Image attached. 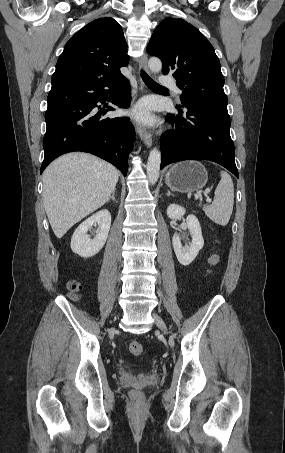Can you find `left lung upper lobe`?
<instances>
[{
  "instance_id": "left-lung-upper-lobe-1",
  "label": "left lung upper lobe",
  "mask_w": 285,
  "mask_h": 453,
  "mask_svg": "<svg viewBox=\"0 0 285 453\" xmlns=\"http://www.w3.org/2000/svg\"><path fill=\"white\" fill-rule=\"evenodd\" d=\"M147 52L161 59L163 74L175 77L182 106L199 102L227 107L219 59L197 28L183 19L167 18L154 31Z\"/></svg>"
}]
</instances>
